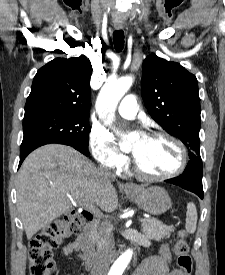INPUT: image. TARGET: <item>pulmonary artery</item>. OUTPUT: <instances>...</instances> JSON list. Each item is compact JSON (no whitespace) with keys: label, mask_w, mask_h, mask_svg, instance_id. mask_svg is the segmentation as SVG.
I'll list each match as a JSON object with an SVG mask.
<instances>
[{"label":"pulmonary artery","mask_w":225,"mask_h":275,"mask_svg":"<svg viewBox=\"0 0 225 275\" xmlns=\"http://www.w3.org/2000/svg\"><path fill=\"white\" fill-rule=\"evenodd\" d=\"M138 109L136 97L134 95H127L120 102L118 113L124 118H134Z\"/></svg>","instance_id":"pulmonary-artery-1"}]
</instances>
